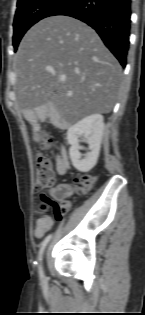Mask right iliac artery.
<instances>
[{"label": "right iliac artery", "mask_w": 145, "mask_h": 315, "mask_svg": "<svg viewBox=\"0 0 145 315\" xmlns=\"http://www.w3.org/2000/svg\"><path fill=\"white\" fill-rule=\"evenodd\" d=\"M52 235H48L41 243V248L39 250V256H38V259L41 260V256H42V253L46 247V245L48 244V242L50 241ZM39 273H40V277L43 278V271H42V268L41 266L39 265Z\"/></svg>", "instance_id": "1"}]
</instances>
